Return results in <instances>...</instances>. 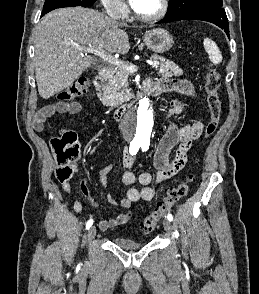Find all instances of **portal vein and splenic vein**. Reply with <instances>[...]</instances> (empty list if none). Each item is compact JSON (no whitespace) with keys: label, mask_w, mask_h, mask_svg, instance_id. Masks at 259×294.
Returning a JSON list of instances; mask_svg holds the SVG:
<instances>
[{"label":"portal vein and splenic vein","mask_w":259,"mask_h":294,"mask_svg":"<svg viewBox=\"0 0 259 294\" xmlns=\"http://www.w3.org/2000/svg\"><path fill=\"white\" fill-rule=\"evenodd\" d=\"M80 50L84 52L94 53L95 55H98L103 61L121 67L130 73H134L138 70V67L136 65L125 64L122 61L115 59L111 54L103 51L101 48H96L92 45H89L88 47L80 48ZM147 63L152 67H157L160 64L159 61H147Z\"/></svg>","instance_id":"1"}]
</instances>
